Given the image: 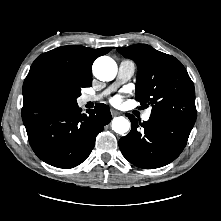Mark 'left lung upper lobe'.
<instances>
[{
	"label": "left lung upper lobe",
	"mask_w": 221,
	"mask_h": 221,
	"mask_svg": "<svg viewBox=\"0 0 221 221\" xmlns=\"http://www.w3.org/2000/svg\"><path fill=\"white\" fill-rule=\"evenodd\" d=\"M117 50L137 64L136 98L143 108L151 105V115L194 125L195 89L179 60L147 44Z\"/></svg>",
	"instance_id": "5c2ea615"
}]
</instances>
